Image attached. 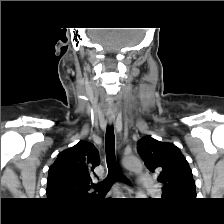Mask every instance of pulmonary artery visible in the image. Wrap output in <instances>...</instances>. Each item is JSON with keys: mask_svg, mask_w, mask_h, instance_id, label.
<instances>
[{"mask_svg": "<svg viewBox=\"0 0 224 224\" xmlns=\"http://www.w3.org/2000/svg\"><path fill=\"white\" fill-rule=\"evenodd\" d=\"M140 182L143 185V187L150 189L156 186V184L154 183V180L151 176L147 175V174H140Z\"/></svg>", "mask_w": 224, "mask_h": 224, "instance_id": "e3ab8cb5", "label": "pulmonary artery"}]
</instances>
